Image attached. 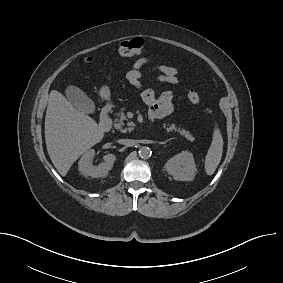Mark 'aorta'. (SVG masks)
<instances>
[{
    "label": "aorta",
    "mask_w": 283,
    "mask_h": 283,
    "mask_svg": "<svg viewBox=\"0 0 283 283\" xmlns=\"http://www.w3.org/2000/svg\"><path fill=\"white\" fill-rule=\"evenodd\" d=\"M151 149L149 147L143 146L139 149V156L142 159H148L151 156Z\"/></svg>",
    "instance_id": "aorta-1"
}]
</instances>
